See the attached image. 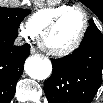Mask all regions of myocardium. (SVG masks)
I'll use <instances>...</instances> for the list:
<instances>
[{"instance_id":"f54148a6","label":"myocardium","mask_w":103,"mask_h":103,"mask_svg":"<svg viewBox=\"0 0 103 103\" xmlns=\"http://www.w3.org/2000/svg\"><path fill=\"white\" fill-rule=\"evenodd\" d=\"M75 11L81 12L84 17L83 29H82L79 37L76 39V41L72 45H70L69 47L64 48V49L57 50V49L48 47L46 44V38L48 37V35L58 26V24L67 15H69L70 13L75 12ZM88 28H89V17H88L87 12L79 6L70 7L68 9L64 10L63 12L59 13L57 16H55L47 24V26L43 29V31L41 32L40 37H39L40 47L44 51H46L48 54L53 55V56L63 57V56L69 55V54L73 53L74 51H76L80 47V45L82 44V42L87 34Z\"/></svg>"}]
</instances>
